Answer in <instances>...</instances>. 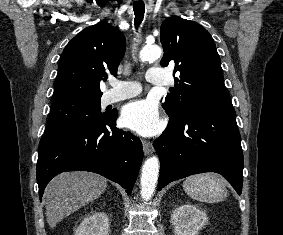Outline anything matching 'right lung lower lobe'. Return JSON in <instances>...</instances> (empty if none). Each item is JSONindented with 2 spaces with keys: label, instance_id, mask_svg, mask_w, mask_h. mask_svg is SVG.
I'll list each match as a JSON object with an SVG mask.
<instances>
[{
  "label": "right lung lower lobe",
  "instance_id": "obj_1",
  "mask_svg": "<svg viewBox=\"0 0 283 235\" xmlns=\"http://www.w3.org/2000/svg\"><path fill=\"white\" fill-rule=\"evenodd\" d=\"M117 112L92 123L79 125L39 143L37 182L40 200L48 182L64 171L98 173L130 194L143 159L140 139L116 127Z\"/></svg>",
  "mask_w": 283,
  "mask_h": 235
}]
</instances>
